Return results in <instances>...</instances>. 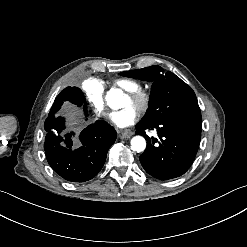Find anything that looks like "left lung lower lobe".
Segmentation results:
<instances>
[{"label":"left lung lower lobe","instance_id":"obj_1","mask_svg":"<svg viewBox=\"0 0 247 247\" xmlns=\"http://www.w3.org/2000/svg\"><path fill=\"white\" fill-rule=\"evenodd\" d=\"M136 134L147 140V148L139 157L151 176L167 180L181 176L193 163L201 139V125L172 119L151 125L137 124ZM146 129H156L160 141L148 137Z\"/></svg>","mask_w":247,"mask_h":247}]
</instances>
